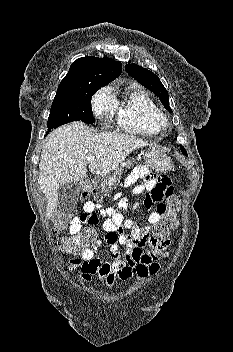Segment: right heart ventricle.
<instances>
[{
    "mask_svg": "<svg viewBox=\"0 0 233 352\" xmlns=\"http://www.w3.org/2000/svg\"><path fill=\"white\" fill-rule=\"evenodd\" d=\"M161 111L151 96L141 87L133 85L125 98L117 101V125L126 133L154 136L161 132Z\"/></svg>",
    "mask_w": 233,
    "mask_h": 352,
    "instance_id": "obj_1",
    "label": "right heart ventricle"
}]
</instances>
